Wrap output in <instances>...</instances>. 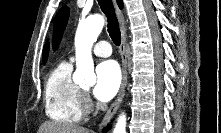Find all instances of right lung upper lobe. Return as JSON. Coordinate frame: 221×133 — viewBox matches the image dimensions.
Here are the masks:
<instances>
[{
  "label": "right lung upper lobe",
  "mask_w": 221,
  "mask_h": 133,
  "mask_svg": "<svg viewBox=\"0 0 221 133\" xmlns=\"http://www.w3.org/2000/svg\"><path fill=\"white\" fill-rule=\"evenodd\" d=\"M117 3H118V5H119L120 8L123 7V2H122V0H117ZM48 49H49V45H48V43H46L45 46H44V50H43V62H44V63L46 62V59H47Z\"/></svg>",
  "instance_id": "1"
}]
</instances>
